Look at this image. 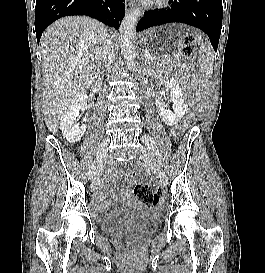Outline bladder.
I'll list each match as a JSON object with an SVG mask.
<instances>
[{"label": "bladder", "instance_id": "bladder-1", "mask_svg": "<svg viewBox=\"0 0 265 273\" xmlns=\"http://www.w3.org/2000/svg\"><path fill=\"white\" fill-rule=\"evenodd\" d=\"M126 220H136L153 225L157 222V217L149 209H132L127 216L111 214L98 220L101 230L106 234L115 232L119 225Z\"/></svg>", "mask_w": 265, "mask_h": 273}]
</instances>
